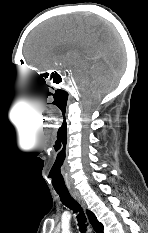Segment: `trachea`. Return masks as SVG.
<instances>
[{
  "label": "trachea",
  "instance_id": "obj_1",
  "mask_svg": "<svg viewBox=\"0 0 148 233\" xmlns=\"http://www.w3.org/2000/svg\"><path fill=\"white\" fill-rule=\"evenodd\" d=\"M56 192L60 196V199L63 205L73 210L74 213L79 212V214L77 215L79 230L82 233H85L87 230L86 218H85V215H84V212L81 206L73 199V197L70 195L68 191L57 190Z\"/></svg>",
  "mask_w": 148,
  "mask_h": 233
}]
</instances>
